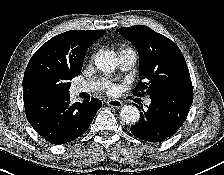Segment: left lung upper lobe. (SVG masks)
<instances>
[{
    "mask_svg": "<svg viewBox=\"0 0 224 175\" xmlns=\"http://www.w3.org/2000/svg\"><path fill=\"white\" fill-rule=\"evenodd\" d=\"M118 32L135 45L140 56L142 82L134 93L150 97L166 93L193 95L186 61L174 42L143 25L123 27Z\"/></svg>",
    "mask_w": 224,
    "mask_h": 175,
    "instance_id": "5c2ea615",
    "label": "left lung upper lobe"
}]
</instances>
